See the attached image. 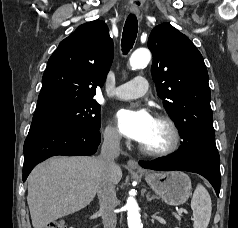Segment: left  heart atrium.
<instances>
[{
	"instance_id": "39dd6f15",
	"label": "left heart atrium",
	"mask_w": 238,
	"mask_h": 228,
	"mask_svg": "<svg viewBox=\"0 0 238 228\" xmlns=\"http://www.w3.org/2000/svg\"><path fill=\"white\" fill-rule=\"evenodd\" d=\"M116 119L121 133L140 143L149 135L155 120L145 109H121Z\"/></svg>"
}]
</instances>
